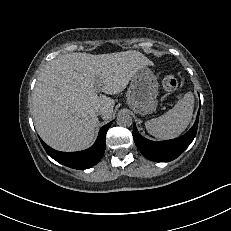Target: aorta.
<instances>
[{
    "mask_svg": "<svg viewBox=\"0 0 231 231\" xmlns=\"http://www.w3.org/2000/svg\"><path fill=\"white\" fill-rule=\"evenodd\" d=\"M133 123L132 117L127 113H120L117 116V124L122 127H130Z\"/></svg>",
    "mask_w": 231,
    "mask_h": 231,
    "instance_id": "762f6f07",
    "label": "aorta"
}]
</instances>
